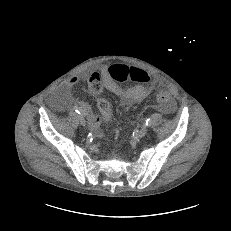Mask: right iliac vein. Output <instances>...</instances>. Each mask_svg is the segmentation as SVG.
I'll return each instance as SVG.
<instances>
[{"label":"right iliac vein","instance_id":"right-iliac-vein-1","mask_svg":"<svg viewBox=\"0 0 231 231\" xmlns=\"http://www.w3.org/2000/svg\"><path fill=\"white\" fill-rule=\"evenodd\" d=\"M79 121H80V124L82 126H86L87 122H86L85 118L82 115L79 116Z\"/></svg>","mask_w":231,"mask_h":231}]
</instances>
